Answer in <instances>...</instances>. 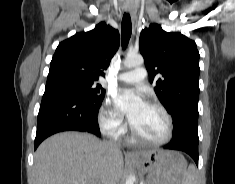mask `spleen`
Segmentation results:
<instances>
[{
  "label": "spleen",
  "instance_id": "3e777b00",
  "mask_svg": "<svg viewBox=\"0 0 235 184\" xmlns=\"http://www.w3.org/2000/svg\"><path fill=\"white\" fill-rule=\"evenodd\" d=\"M196 176L197 172L195 170V166H193V164H190L187 172H185L184 174L182 184H196Z\"/></svg>",
  "mask_w": 235,
  "mask_h": 184
}]
</instances>
